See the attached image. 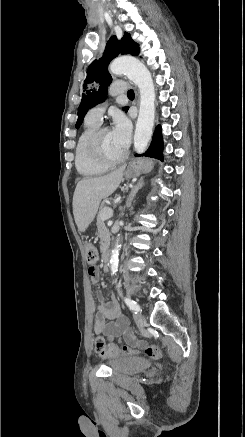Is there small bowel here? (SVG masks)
<instances>
[{
	"mask_svg": "<svg viewBox=\"0 0 245 437\" xmlns=\"http://www.w3.org/2000/svg\"><path fill=\"white\" fill-rule=\"evenodd\" d=\"M89 275L92 283L98 285L100 280L98 269L95 268ZM97 296L99 304L93 325L94 332L110 339L123 337L129 344L139 346L141 342L132 333L128 319L123 314L117 299L111 295L109 302H105L100 291L97 292Z\"/></svg>",
	"mask_w": 245,
	"mask_h": 437,
	"instance_id": "1",
	"label": "small bowel"
}]
</instances>
